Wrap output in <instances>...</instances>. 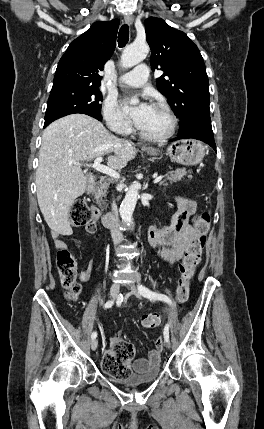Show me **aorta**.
Returning <instances> with one entry per match:
<instances>
[{
	"instance_id": "1",
	"label": "aorta",
	"mask_w": 264,
	"mask_h": 429,
	"mask_svg": "<svg viewBox=\"0 0 264 429\" xmlns=\"http://www.w3.org/2000/svg\"><path fill=\"white\" fill-rule=\"evenodd\" d=\"M148 52L149 46L146 43L134 42L124 49L121 55V65L125 68L133 67L144 60ZM137 102L138 100H132V103ZM140 188L141 185L138 182H133L120 205V216L128 225L133 224V212L137 203Z\"/></svg>"
}]
</instances>
